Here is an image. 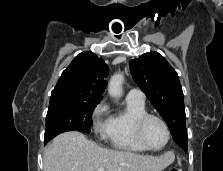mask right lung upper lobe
<instances>
[{"label":"right lung upper lobe","mask_w":223,"mask_h":171,"mask_svg":"<svg viewBox=\"0 0 223 171\" xmlns=\"http://www.w3.org/2000/svg\"><path fill=\"white\" fill-rule=\"evenodd\" d=\"M109 72L102 58L92 52L77 55L65 69L51 92L50 100L74 98L101 101Z\"/></svg>","instance_id":"right-lung-upper-lobe-1"}]
</instances>
